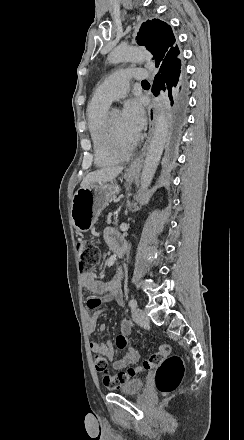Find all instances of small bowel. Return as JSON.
Masks as SVG:
<instances>
[{
    "label": "small bowel",
    "instance_id": "obj_1",
    "mask_svg": "<svg viewBox=\"0 0 244 440\" xmlns=\"http://www.w3.org/2000/svg\"><path fill=\"white\" fill-rule=\"evenodd\" d=\"M104 238L106 243L114 249H116L120 243L122 244L121 235L114 228H107L104 233ZM81 284L84 289L92 294L87 301V306L94 312L87 317V331L89 334H93L96 329H98L100 333H104L106 330L105 325H99L97 327L100 309L104 303H122L123 273L119 270L108 282L97 280L91 272L82 273ZM130 332L131 328L129 322L123 320L119 333H126L128 339ZM89 346L94 353H103L104 356L112 362L113 368L116 370L135 364L138 358L137 352L131 343L128 348H119L126 350L125 355L121 358H116V348H114L113 344L110 342L90 341Z\"/></svg>",
    "mask_w": 244,
    "mask_h": 440
}]
</instances>
